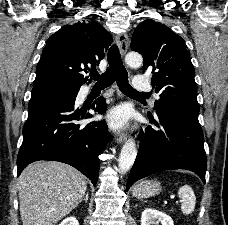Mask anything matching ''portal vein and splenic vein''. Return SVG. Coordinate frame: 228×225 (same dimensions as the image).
<instances>
[{"mask_svg": "<svg viewBox=\"0 0 228 225\" xmlns=\"http://www.w3.org/2000/svg\"><path fill=\"white\" fill-rule=\"evenodd\" d=\"M167 199H163L162 200V205H163V207H168V200H174L175 199V196L174 195H167V197H166ZM175 204L176 205H179L180 204V201L179 200H176L175 201Z\"/></svg>", "mask_w": 228, "mask_h": 225, "instance_id": "obj_1", "label": "portal vein and splenic vein"}]
</instances>
